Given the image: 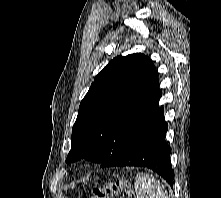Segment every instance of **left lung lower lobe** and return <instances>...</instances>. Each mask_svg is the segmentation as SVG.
I'll list each match as a JSON object with an SVG mask.
<instances>
[{
	"mask_svg": "<svg viewBox=\"0 0 221 198\" xmlns=\"http://www.w3.org/2000/svg\"><path fill=\"white\" fill-rule=\"evenodd\" d=\"M167 129L164 109L158 105L151 116L123 142L121 147L101 163V167H147L165 178L173 188L171 149L165 141Z\"/></svg>",
	"mask_w": 221,
	"mask_h": 198,
	"instance_id": "left-lung-lower-lobe-1",
	"label": "left lung lower lobe"
}]
</instances>
